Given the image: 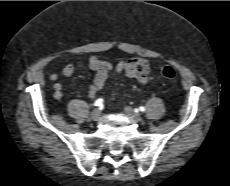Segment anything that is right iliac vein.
Masks as SVG:
<instances>
[{
	"instance_id": "obj_1",
	"label": "right iliac vein",
	"mask_w": 230,
	"mask_h": 186,
	"mask_svg": "<svg viewBox=\"0 0 230 186\" xmlns=\"http://www.w3.org/2000/svg\"><path fill=\"white\" fill-rule=\"evenodd\" d=\"M101 116V111L100 109H94L92 112H91V119L94 120V121H97Z\"/></svg>"
}]
</instances>
